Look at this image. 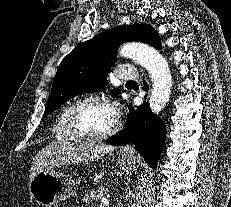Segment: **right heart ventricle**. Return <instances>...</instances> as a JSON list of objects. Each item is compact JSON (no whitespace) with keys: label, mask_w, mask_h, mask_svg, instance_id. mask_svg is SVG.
Listing matches in <instances>:
<instances>
[{"label":"right heart ventricle","mask_w":231,"mask_h":207,"mask_svg":"<svg viewBox=\"0 0 231 207\" xmlns=\"http://www.w3.org/2000/svg\"><path fill=\"white\" fill-rule=\"evenodd\" d=\"M69 107L70 104H67L59 111L53 126L55 140L62 143H71L77 140V138L69 131L67 125L66 115Z\"/></svg>","instance_id":"e07e8e85"}]
</instances>
